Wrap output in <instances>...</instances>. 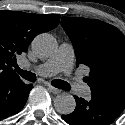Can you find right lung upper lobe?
<instances>
[{
    "label": "right lung upper lobe",
    "instance_id": "1",
    "mask_svg": "<svg viewBox=\"0 0 125 125\" xmlns=\"http://www.w3.org/2000/svg\"><path fill=\"white\" fill-rule=\"evenodd\" d=\"M59 20L58 14L0 11V83L19 78L12 69L16 55L26 52L35 36L57 27Z\"/></svg>",
    "mask_w": 125,
    "mask_h": 125
}]
</instances>
